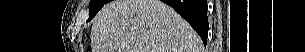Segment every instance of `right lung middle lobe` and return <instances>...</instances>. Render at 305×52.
Here are the masks:
<instances>
[{
    "label": "right lung middle lobe",
    "mask_w": 305,
    "mask_h": 52,
    "mask_svg": "<svg viewBox=\"0 0 305 52\" xmlns=\"http://www.w3.org/2000/svg\"><path fill=\"white\" fill-rule=\"evenodd\" d=\"M108 2L109 0H90V7H89L90 18L88 21H90L97 14V12L103 7V5Z\"/></svg>",
    "instance_id": "right-lung-middle-lobe-1"
}]
</instances>
